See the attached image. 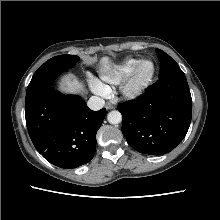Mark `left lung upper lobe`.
Returning a JSON list of instances; mask_svg holds the SVG:
<instances>
[{
    "label": "left lung upper lobe",
    "instance_id": "obj_1",
    "mask_svg": "<svg viewBox=\"0 0 220 220\" xmlns=\"http://www.w3.org/2000/svg\"><path fill=\"white\" fill-rule=\"evenodd\" d=\"M156 54L160 61L159 78L183 73L179 65L168 54L160 49H156Z\"/></svg>",
    "mask_w": 220,
    "mask_h": 220
}]
</instances>
